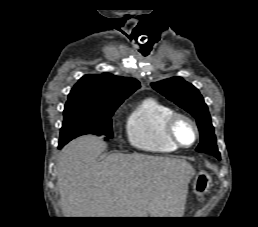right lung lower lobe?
<instances>
[{"mask_svg":"<svg viewBox=\"0 0 258 227\" xmlns=\"http://www.w3.org/2000/svg\"><path fill=\"white\" fill-rule=\"evenodd\" d=\"M65 144L66 143H64V142L59 143V148H62Z\"/></svg>","mask_w":258,"mask_h":227,"instance_id":"1","label":"right lung lower lobe"}]
</instances>
